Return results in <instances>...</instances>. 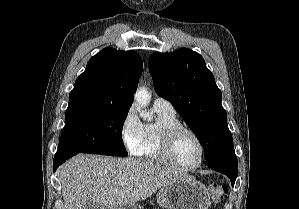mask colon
<instances>
[{
	"label": "colon",
	"mask_w": 299,
	"mask_h": 209,
	"mask_svg": "<svg viewBox=\"0 0 299 209\" xmlns=\"http://www.w3.org/2000/svg\"><path fill=\"white\" fill-rule=\"evenodd\" d=\"M209 191L212 197V200L215 203H218L224 199L228 193V187L226 184L222 183H212L209 185Z\"/></svg>",
	"instance_id": "obj_1"
}]
</instances>
